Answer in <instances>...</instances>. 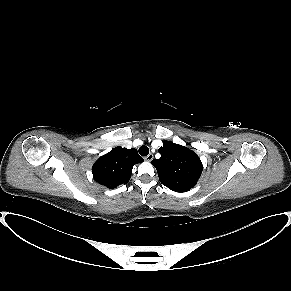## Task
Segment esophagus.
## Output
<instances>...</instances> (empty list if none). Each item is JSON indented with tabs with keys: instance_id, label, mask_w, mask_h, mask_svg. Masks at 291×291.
I'll return each instance as SVG.
<instances>
[{
	"instance_id": "obj_1",
	"label": "esophagus",
	"mask_w": 291,
	"mask_h": 291,
	"mask_svg": "<svg viewBox=\"0 0 291 291\" xmlns=\"http://www.w3.org/2000/svg\"><path fill=\"white\" fill-rule=\"evenodd\" d=\"M153 158H154V155L150 153L145 157V160L150 162Z\"/></svg>"
}]
</instances>
